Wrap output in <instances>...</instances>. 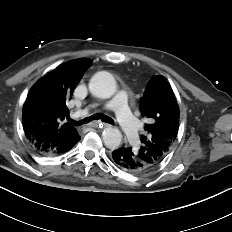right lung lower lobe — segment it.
Instances as JSON below:
<instances>
[{"mask_svg":"<svg viewBox=\"0 0 232 232\" xmlns=\"http://www.w3.org/2000/svg\"><path fill=\"white\" fill-rule=\"evenodd\" d=\"M75 144H76V143H75ZM75 144H74V145H75ZM74 145H73V146H74ZM73 146H71V147L68 149V151H69L70 149H72V148H73ZM44 155H46V154H44Z\"/></svg>","mask_w":232,"mask_h":232,"instance_id":"right-lung-lower-lobe-1","label":"right lung lower lobe"}]
</instances>
